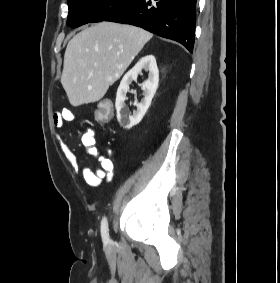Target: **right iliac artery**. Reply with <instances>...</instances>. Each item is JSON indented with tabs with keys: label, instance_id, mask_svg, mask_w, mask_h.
Returning a JSON list of instances; mask_svg holds the SVG:
<instances>
[{
	"label": "right iliac artery",
	"instance_id": "82829eb1",
	"mask_svg": "<svg viewBox=\"0 0 280 283\" xmlns=\"http://www.w3.org/2000/svg\"><path fill=\"white\" fill-rule=\"evenodd\" d=\"M108 231H109L108 222H107V219L104 217L102 222H101V235H102L103 242L105 244H107L110 241Z\"/></svg>",
	"mask_w": 280,
	"mask_h": 283
}]
</instances>
